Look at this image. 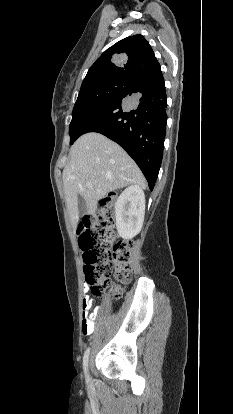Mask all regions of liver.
I'll list each match as a JSON object with an SVG mask.
<instances>
[{
  "label": "liver",
  "instance_id": "6515ba94",
  "mask_svg": "<svg viewBox=\"0 0 233 414\" xmlns=\"http://www.w3.org/2000/svg\"><path fill=\"white\" fill-rule=\"evenodd\" d=\"M70 163L63 170L66 204L74 228L79 224L78 198L94 215L98 201L107 193L129 185L145 188V178L132 158L104 135L89 132L70 149Z\"/></svg>",
  "mask_w": 233,
  "mask_h": 414
}]
</instances>
